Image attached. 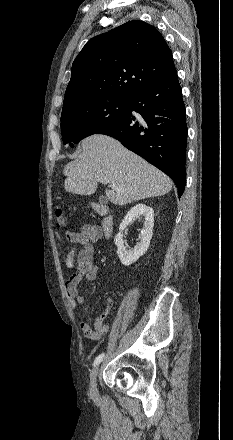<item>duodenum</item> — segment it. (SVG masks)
I'll return each instance as SVG.
<instances>
[{"label":"duodenum","instance_id":"duodenum-1","mask_svg":"<svg viewBox=\"0 0 233 440\" xmlns=\"http://www.w3.org/2000/svg\"><path fill=\"white\" fill-rule=\"evenodd\" d=\"M98 212L105 215L104 220L102 221V234L104 237H109L111 236L112 232H113V226H114V219L112 214L110 213V211L103 206H99L98 207Z\"/></svg>","mask_w":233,"mask_h":440}]
</instances>
